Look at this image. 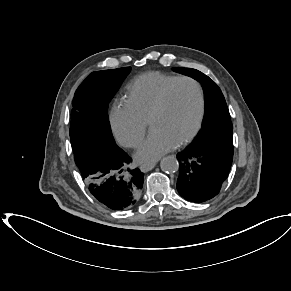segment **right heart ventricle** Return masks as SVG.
Listing matches in <instances>:
<instances>
[{
    "mask_svg": "<svg viewBox=\"0 0 291 291\" xmlns=\"http://www.w3.org/2000/svg\"><path fill=\"white\" fill-rule=\"evenodd\" d=\"M175 78L176 76L159 72H148L138 76L128 89L126 103L135 114L148 122L161 92Z\"/></svg>",
    "mask_w": 291,
    "mask_h": 291,
    "instance_id": "obj_1",
    "label": "right heart ventricle"
}]
</instances>
